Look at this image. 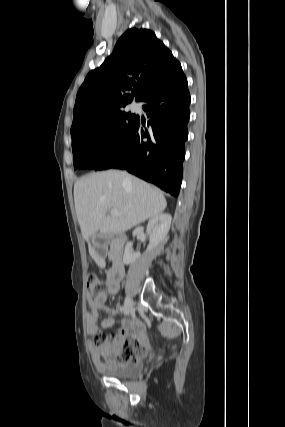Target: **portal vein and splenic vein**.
Listing matches in <instances>:
<instances>
[{"instance_id":"portal-vein-and-splenic-vein-1","label":"portal vein and splenic vein","mask_w":285,"mask_h":427,"mask_svg":"<svg viewBox=\"0 0 285 427\" xmlns=\"http://www.w3.org/2000/svg\"><path fill=\"white\" fill-rule=\"evenodd\" d=\"M119 213L117 210H111L110 211V216H117Z\"/></svg>"}]
</instances>
